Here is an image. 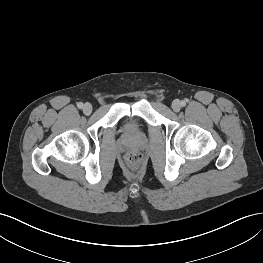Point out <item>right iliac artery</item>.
<instances>
[{
  "label": "right iliac artery",
  "mask_w": 263,
  "mask_h": 263,
  "mask_svg": "<svg viewBox=\"0 0 263 263\" xmlns=\"http://www.w3.org/2000/svg\"><path fill=\"white\" fill-rule=\"evenodd\" d=\"M77 107H78L79 109H82V108H83V103H82V102H79V103L77 104Z\"/></svg>",
  "instance_id": "obj_1"
}]
</instances>
